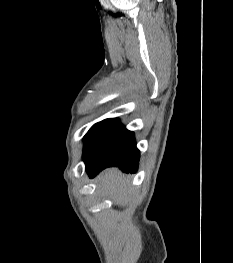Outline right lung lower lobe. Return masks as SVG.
I'll return each instance as SVG.
<instances>
[{"instance_id": "right-lung-lower-lobe-1", "label": "right lung lower lobe", "mask_w": 233, "mask_h": 263, "mask_svg": "<svg viewBox=\"0 0 233 263\" xmlns=\"http://www.w3.org/2000/svg\"><path fill=\"white\" fill-rule=\"evenodd\" d=\"M139 153L134 133L116 118L101 121L85 136L83 161L91 178L112 166L126 173L136 172Z\"/></svg>"}]
</instances>
